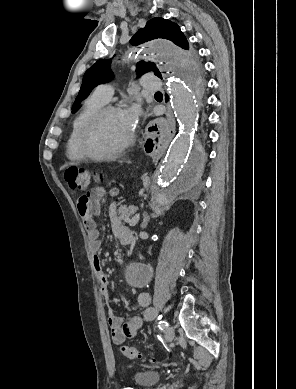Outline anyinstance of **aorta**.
I'll use <instances>...</instances> for the list:
<instances>
[{
  "instance_id": "762f6f07",
  "label": "aorta",
  "mask_w": 296,
  "mask_h": 389,
  "mask_svg": "<svg viewBox=\"0 0 296 389\" xmlns=\"http://www.w3.org/2000/svg\"><path fill=\"white\" fill-rule=\"evenodd\" d=\"M154 49L138 52L124 49V62L143 59L149 66H156L169 81L171 106L180 124L178 135L173 140L159 170L151 193V203L157 207L167 204L186 189H197L200 167H204L206 145L194 135L199 123V110L205 96L204 70L192 67L190 54L173 43L157 40ZM157 52V53H156ZM151 268L142 263H131L126 268V278L134 287L145 286L151 277Z\"/></svg>"
}]
</instances>
